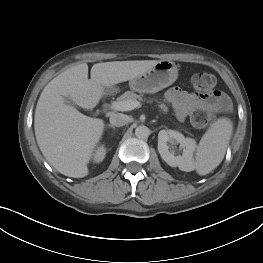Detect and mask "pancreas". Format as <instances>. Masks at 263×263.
<instances>
[{
  "mask_svg": "<svg viewBox=\"0 0 263 263\" xmlns=\"http://www.w3.org/2000/svg\"><path fill=\"white\" fill-rule=\"evenodd\" d=\"M127 100L142 101L143 99H142V95L135 94L132 91H126L125 93H123L121 96L117 98V102L127 101ZM159 108L162 110L163 113H166L168 111V108L166 107L165 104H159Z\"/></svg>",
  "mask_w": 263,
  "mask_h": 263,
  "instance_id": "1",
  "label": "pancreas"
}]
</instances>
